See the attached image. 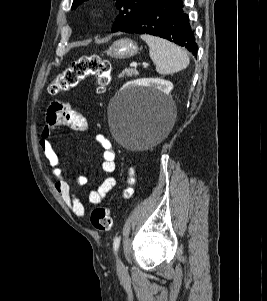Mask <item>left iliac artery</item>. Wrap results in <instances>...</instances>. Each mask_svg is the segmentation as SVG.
Here are the masks:
<instances>
[{
    "instance_id": "obj_1",
    "label": "left iliac artery",
    "mask_w": 267,
    "mask_h": 301,
    "mask_svg": "<svg viewBox=\"0 0 267 301\" xmlns=\"http://www.w3.org/2000/svg\"><path fill=\"white\" fill-rule=\"evenodd\" d=\"M119 245H120V237L117 236V237H115L114 242H113V248H114L115 252H117Z\"/></svg>"
}]
</instances>
